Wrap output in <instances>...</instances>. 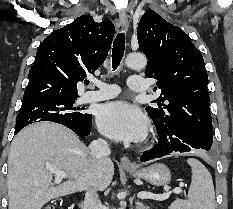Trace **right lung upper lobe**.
Wrapping results in <instances>:
<instances>
[{"mask_svg": "<svg viewBox=\"0 0 233 209\" xmlns=\"http://www.w3.org/2000/svg\"><path fill=\"white\" fill-rule=\"evenodd\" d=\"M115 27L83 15L52 32L38 47L23 103L48 98H77V83L105 61Z\"/></svg>", "mask_w": 233, "mask_h": 209, "instance_id": "cb5924a9", "label": "right lung upper lobe"}]
</instances>
